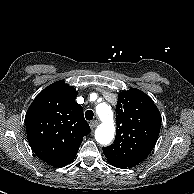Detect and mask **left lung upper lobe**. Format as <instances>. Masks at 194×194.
I'll return each mask as SVG.
<instances>
[{
    "label": "left lung upper lobe",
    "mask_w": 194,
    "mask_h": 194,
    "mask_svg": "<svg viewBox=\"0 0 194 194\" xmlns=\"http://www.w3.org/2000/svg\"><path fill=\"white\" fill-rule=\"evenodd\" d=\"M115 141L103 152L111 165L132 168L154 148L161 127V115L153 100L131 88L118 95Z\"/></svg>",
    "instance_id": "5c2ea615"
}]
</instances>
